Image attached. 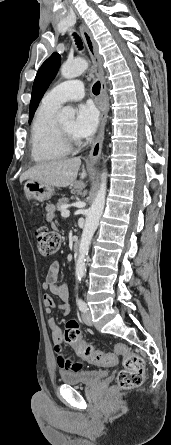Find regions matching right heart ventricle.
<instances>
[{
  "mask_svg": "<svg viewBox=\"0 0 171 445\" xmlns=\"http://www.w3.org/2000/svg\"><path fill=\"white\" fill-rule=\"evenodd\" d=\"M59 106L43 102L31 125V156L36 162L62 158L68 150L61 144L56 133V112Z\"/></svg>",
  "mask_w": 171,
  "mask_h": 445,
  "instance_id": "1",
  "label": "right heart ventricle"
}]
</instances>
